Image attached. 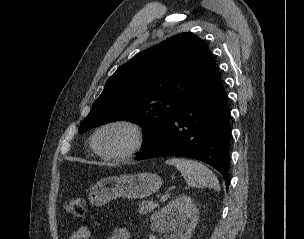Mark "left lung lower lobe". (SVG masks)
<instances>
[{
    "label": "left lung lower lobe",
    "instance_id": "0a47b994",
    "mask_svg": "<svg viewBox=\"0 0 304 239\" xmlns=\"http://www.w3.org/2000/svg\"><path fill=\"white\" fill-rule=\"evenodd\" d=\"M230 112L226 93L215 67L200 88L181 106L168 127L142 149L137 160L182 156L217 169L229 187Z\"/></svg>",
    "mask_w": 304,
    "mask_h": 239
}]
</instances>
